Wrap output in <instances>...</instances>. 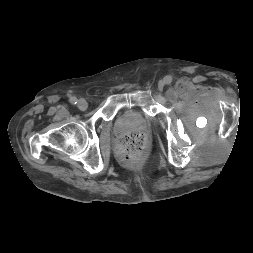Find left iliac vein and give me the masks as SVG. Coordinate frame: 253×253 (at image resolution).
Instances as JSON below:
<instances>
[{"mask_svg": "<svg viewBox=\"0 0 253 253\" xmlns=\"http://www.w3.org/2000/svg\"><path fill=\"white\" fill-rule=\"evenodd\" d=\"M164 85H165L164 81H160L158 84V88L162 90L164 88Z\"/></svg>", "mask_w": 253, "mask_h": 253, "instance_id": "obj_1", "label": "left iliac vein"}]
</instances>
